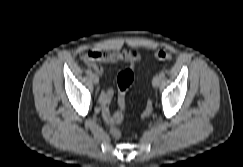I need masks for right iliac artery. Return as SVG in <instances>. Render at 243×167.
<instances>
[{"mask_svg": "<svg viewBox=\"0 0 243 167\" xmlns=\"http://www.w3.org/2000/svg\"><path fill=\"white\" fill-rule=\"evenodd\" d=\"M86 73H87L88 75H91V74H92V71H91L90 69H88V70H86Z\"/></svg>", "mask_w": 243, "mask_h": 167, "instance_id": "1", "label": "right iliac artery"}]
</instances>
